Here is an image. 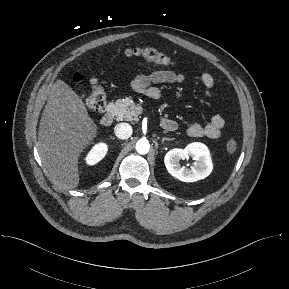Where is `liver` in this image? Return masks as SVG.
<instances>
[{"mask_svg":"<svg viewBox=\"0 0 289 289\" xmlns=\"http://www.w3.org/2000/svg\"><path fill=\"white\" fill-rule=\"evenodd\" d=\"M97 126L78 94L57 80L42 113L38 147L54 185L75 189L79 185L78 159L92 143Z\"/></svg>","mask_w":289,"mask_h":289,"instance_id":"liver-1","label":"liver"}]
</instances>
